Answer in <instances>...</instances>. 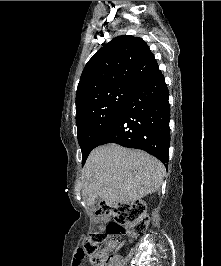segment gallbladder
<instances>
[{"instance_id": "obj_1", "label": "gallbladder", "mask_w": 221, "mask_h": 266, "mask_svg": "<svg viewBox=\"0 0 221 266\" xmlns=\"http://www.w3.org/2000/svg\"><path fill=\"white\" fill-rule=\"evenodd\" d=\"M98 200H99V197H98V196H90V197L87 199V202H88L89 204H94V203H96Z\"/></svg>"}]
</instances>
